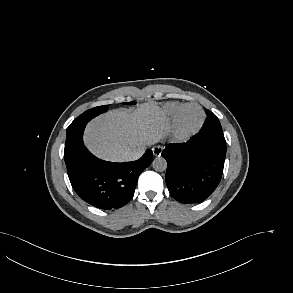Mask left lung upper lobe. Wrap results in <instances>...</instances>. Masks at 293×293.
<instances>
[{
    "label": "left lung upper lobe",
    "mask_w": 293,
    "mask_h": 293,
    "mask_svg": "<svg viewBox=\"0 0 293 293\" xmlns=\"http://www.w3.org/2000/svg\"><path fill=\"white\" fill-rule=\"evenodd\" d=\"M206 114H207V119L206 121L214 124L215 126L217 127H220L221 128V125H220V122H219V119L209 110L206 111Z\"/></svg>",
    "instance_id": "5c2ea615"
}]
</instances>
